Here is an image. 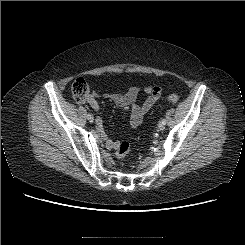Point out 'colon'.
<instances>
[{
  "label": "colon",
  "mask_w": 245,
  "mask_h": 245,
  "mask_svg": "<svg viewBox=\"0 0 245 245\" xmlns=\"http://www.w3.org/2000/svg\"><path fill=\"white\" fill-rule=\"evenodd\" d=\"M71 93L75 100L85 101L90 95V87L88 82L82 78H76L71 85ZM178 96L173 94L168 97L170 103H176ZM130 152V144L128 142H120L116 146V156L118 159L123 160Z\"/></svg>",
  "instance_id": "1"
}]
</instances>
